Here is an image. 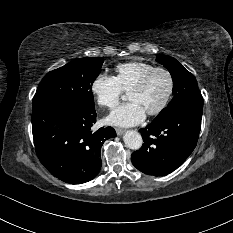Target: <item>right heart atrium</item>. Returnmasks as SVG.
I'll list each match as a JSON object with an SVG mask.
<instances>
[{"label": "right heart atrium", "mask_w": 233, "mask_h": 233, "mask_svg": "<svg viewBox=\"0 0 233 233\" xmlns=\"http://www.w3.org/2000/svg\"><path fill=\"white\" fill-rule=\"evenodd\" d=\"M91 92L100 107H114L122 94V90L113 76L105 73L97 74L90 85Z\"/></svg>", "instance_id": "obj_1"}]
</instances>
